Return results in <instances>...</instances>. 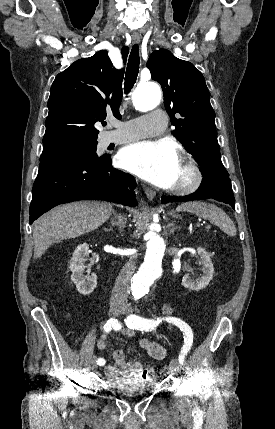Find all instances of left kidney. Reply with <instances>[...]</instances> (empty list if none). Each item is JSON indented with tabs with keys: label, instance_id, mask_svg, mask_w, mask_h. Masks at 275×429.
I'll return each mask as SVG.
<instances>
[{
	"label": "left kidney",
	"instance_id": "1",
	"mask_svg": "<svg viewBox=\"0 0 275 429\" xmlns=\"http://www.w3.org/2000/svg\"><path fill=\"white\" fill-rule=\"evenodd\" d=\"M197 252L200 256L202 263V272L201 277L197 279H192L188 274L183 276L182 285L190 290L199 291L204 289L213 278L214 268L210 255L206 252L204 248L198 247Z\"/></svg>",
	"mask_w": 275,
	"mask_h": 429
}]
</instances>
